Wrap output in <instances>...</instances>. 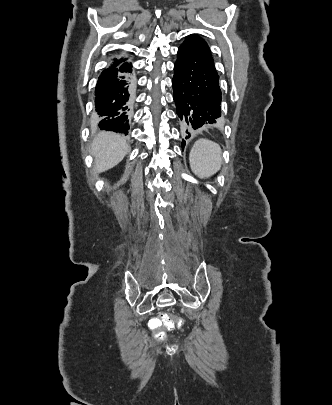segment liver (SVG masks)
<instances>
[{
    "instance_id": "1",
    "label": "liver",
    "mask_w": 332,
    "mask_h": 405,
    "mask_svg": "<svg viewBox=\"0 0 332 405\" xmlns=\"http://www.w3.org/2000/svg\"><path fill=\"white\" fill-rule=\"evenodd\" d=\"M91 147L98 173L116 166L130 150L126 139L113 132H100L93 140Z\"/></svg>"
}]
</instances>
